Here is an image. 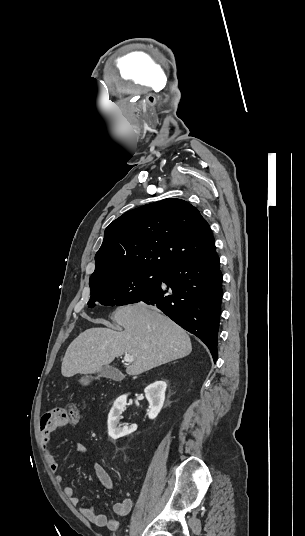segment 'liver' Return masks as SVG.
Masks as SVG:
<instances>
[{
    "instance_id": "6515ba94",
    "label": "liver",
    "mask_w": 305,
    "mask_h": 536,
    "mask_svg": "<svg viewBox=\"0 0 305 536\" xmlns=\"http://www.w3.org/2000/svg\"><path fill=\"white\" fill-rule=\"evenodd\" d=\"M124 332L109 328H90L68 346L61 366L64 378L75 374H95L118 356L130 354L134 362L126 368L129 376H138L147 370L185 358L192 352L188 334L163 316L159 310L145 304L117 308L112 318ZM105 324L106 320H92Z\"/></svg>"
}]
</instances>
